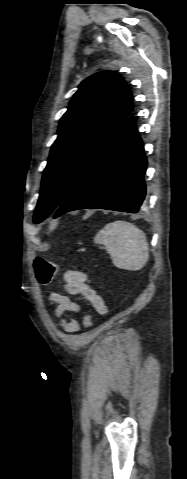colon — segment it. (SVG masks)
<instances>
[{
	"instance_id": "5ec220e1",
	"label": "colon",
	"mask_w": 187,
	"mask_h": 479,
	"mask_svg": "<svg viewBox=\"0 0 187 479\" xmlns=\"http://www.w3.org/2000/svg\"><path fill=\"white\" fill-rule=\"evenodd\" d=\"M37 281L46 285L52 282L58 271V265L54 262L47 261L41 257H36L33 262ZM94 318L92 314H85L82 318V325L89 328L93 325Z\"/></svg>"
}]
</instances>
